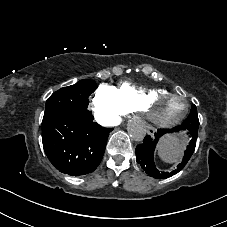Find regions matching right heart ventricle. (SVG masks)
Instances as JSON below:
<instances>
[{"instance_id": "obj_1", "label": "right heart ventricle", "mask_w": 227, "mask_h": 227, "mask_svg": "<svg viewBox=\"0 0 227 227\" xmlns=\"http://www.w3.org/2000/svg\"><path fill=\"white\" fill-rule=\"evenodd\" d=\"M116 90L127 113L141 112L150 98L168 93L164 88H144L130 82L120 83Z\"/></svg>"}]
</instances>
